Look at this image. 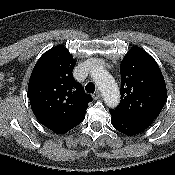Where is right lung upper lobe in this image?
Here are the masks:
<instances>
[{"mask_svg":"<svg viewBox=\"0 0 175 175\" xmlns=\"http://www.w3.org/2000/svg\"><path fill=\"white\" fill-rule=\"evenodd\" d=\"M75 59L62 47H53L37 61L28 83L31 108L40 123L55 133L80 124L92 97L72 76Z\"/></svg>","mask_w":175,"mask_h":175,"instance_id":"cb5924a9","label":"right lung upper lobe"}]
</instances>
